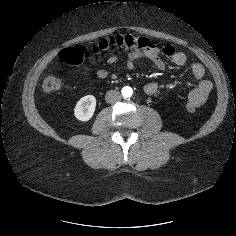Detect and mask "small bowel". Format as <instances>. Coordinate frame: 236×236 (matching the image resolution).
<instances>
[{"label": "small bowel", "instance_id": "1", "mask_svg": "<svg viewBox=\"0 0 236 236\" xmlns=\"http://www.w3.org/2000/svg\"><path fill=\"white\" fill-rule=\"evenodd\" d=\"M162 56L169 59L176 66H184L187 63V57L184 53L177 51L173 46L167 45L159 49L151 45L150 48L141 52H130L125 58L110 56L107 59L109 66L122 65L127 70H132L140 60L149 59L159 70L165 69V61ZM109 69H99L95 72L96 79L102 80L110 75ZM192 80L187 82L189 88V103L194 108L203 105L212 89L213 84L205 78V68L200 63H194L191 66ZM157 84L149 82L144 86L147 95H154L157 92Z\"/></svg>", "mask_w": 236, "mask_h": 236}]
</instances>
